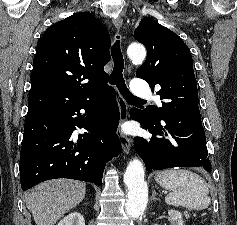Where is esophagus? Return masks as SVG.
Returning <instances> with one entry per match:
<instances>
[{
    "label": "esophagus",
    "instance_id": "1",
    "mask_svg": "<svg viewBox=\"0 0 237 225\" xmlns=\"http://www.w3.org/2000/svg\"><path fill=\"white\" fill-rule=\"evenodd\" d=\"M113 24L117 29H120L123 25V20L121 17H115L113 18ZM117 104L119 108V126L117 129V136L119 138V141L122 145L123 150L129 154L130 148H131V141L129 137L123 133L122 131V125L126 122L128 118V106L124 98L118 93L117 94Z\"/></svg>",
    "mask_w": 237,
    "mask_h": 225
}]
</instances>
